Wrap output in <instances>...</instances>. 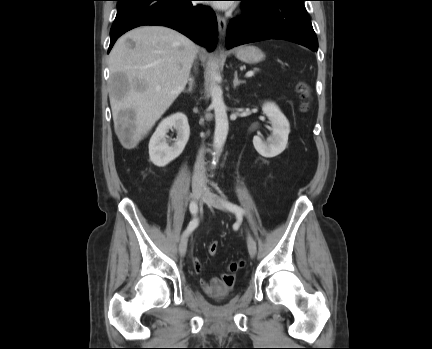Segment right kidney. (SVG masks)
<instances>
[{
  "mask_svg": "<svg viewBox=\"0 0 432 349\" xmlns=\"http://www.w3.org/2000/svg\"><path fill=\"white\" fill-rule=\"evenodd\" d=\"M172 128L177 132V139L169 146L166 141V134ZM189 136L190 127L188 119L183 113H175L163 119L149 142L151 162L158 167H164L169 164L183 152Z\"/></svg>",
  "mask_w": 432,
  "mask_h": 349,
  "instance_id": "right-kidney-1",
  "label": "right kidney"
}]
</instances>
